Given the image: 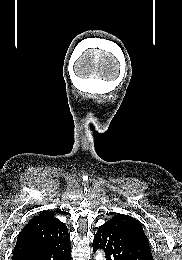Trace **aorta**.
<instances>
[{
  "instance_id": "obj_1",
  "label": "aorta",
  "mask_w": 182,
  "mask_h": 260,
  "mask_svg": "<svg viewBox=\"0 0 182 260\" xmlns=\"http://www.w3.org/2000/svg\"><path fill=\"white\" fill-rule=\"evenodd\" d=\"M95 260H105L104 253L102 251H98Z\"/></svg>"
}]
</instances>
